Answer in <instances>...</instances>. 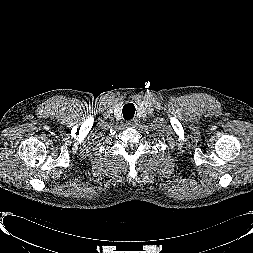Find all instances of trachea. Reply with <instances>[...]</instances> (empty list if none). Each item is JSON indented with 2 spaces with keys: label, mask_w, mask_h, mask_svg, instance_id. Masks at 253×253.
<instances>
[{
  "label": "trachea",
  "mask_w": 253,
  "mask_h": 253,
  "mask_svg": "<svg viewBox=\"0 0 253 253\" xmlns=\"http://www.w3.org/2000/svg\"><path fill=\"white\" fill-rule=\"evenodd\" d=\"M122 113L125 120L132 119L135 113V106L133 104H126L122 109Z\"/></svg>",
  "instance_id": "obj_1"
}]
</instances>
